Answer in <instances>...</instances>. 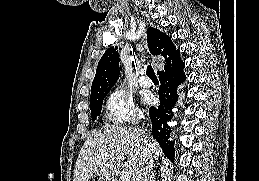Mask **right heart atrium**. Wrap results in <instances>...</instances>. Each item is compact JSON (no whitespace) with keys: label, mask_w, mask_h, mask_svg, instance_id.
Returning <instances> with one entry per match:
<instances>
[{"label":"right heart atrium","mask_w":259,"mask_h":181,"mask_svg":"<svg viewBox=\"0 0 259 181\" xmlns=\"http://www.w3.org/2000/svg\"><path fill=\"white\" fill-rule=\"evenodd\" d=\"M104 115L111 124L124 127L137 122L142 117V112L129 93L115 89L105 99Z\"/></svg>","instance_id":"obj_1"}]
</instances>
